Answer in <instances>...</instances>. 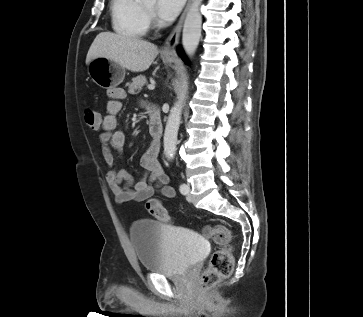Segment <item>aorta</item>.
Returning <instances> with one entry per match:
<instances>
[{"label":"aorta","instance_id":"1","mask_svg":"<svg viewBox=\"0 0 363 317\" xmlns=\"http://www.w3.org/2000/svg\"><path fill=\"white\" fill-rule=\"evenodd\" d=\"M155 2V0H145ZM202 0H192L188 9L182 35V45L187 56L191 57L201 38L202 16L200 5ZM184 95L178 96V101L170 110L164 133V154L168 159H173L176 152L177 136L180 126Z\"/></svg>","mask_w":363,"mask_h":317}]
</instances>
